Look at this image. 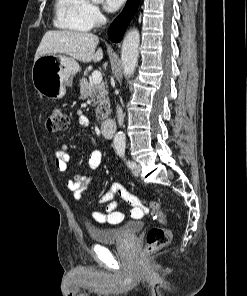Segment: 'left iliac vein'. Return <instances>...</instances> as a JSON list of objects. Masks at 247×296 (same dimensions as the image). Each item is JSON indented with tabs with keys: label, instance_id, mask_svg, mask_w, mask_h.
I'll list each match as a JSON object with an SVG mask.
<instances>
[{
	"label": "left iliac vein",
	"instance_id": "obj_1",
	"mask_svg": "<svg viewBox=\"0 0 247 296\" xmlns=\"http://www.w3.org/2000/svg\"><path fill=\"white\" fill-rule=\"evenodd\" d=\"M132 174L134 176H139V174H140V167L138 165H136V167L132 170Z\"/></svg>",
	"mask_w": 247,
	"mask_h": 296
}]
</instances>
